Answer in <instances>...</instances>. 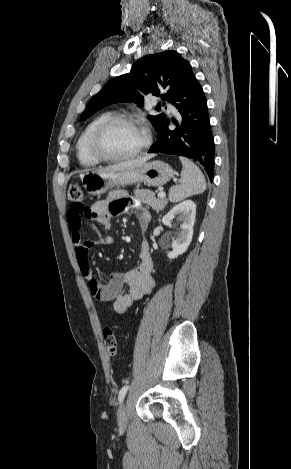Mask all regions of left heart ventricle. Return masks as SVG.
I'll return each instance as SVG.
<instances>
[{"mask_svg":"<svg viewBox=\"0 0 291 469\" xmlns=\"http://www.w3.org/2000/svg\"><path fill=\"white\" fill-rule=\"evenodd\" d=\"M144 131L129 123H117L106 133L104 146L114 156H123L137 150L144 142Z\"/></svg>","mask_w":291,"mask_h":469,"instance_id":"1","label":"left heart ventricle"}]
</instances>
